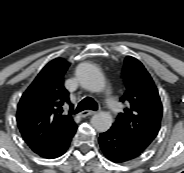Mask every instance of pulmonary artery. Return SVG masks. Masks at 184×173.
<instances>
[{
    "label": "pulmonary artery",
    "instance_id": "pulmonary-artery-1",
    "mask_svg": "<svg viewBox=\"0 0 184 173\" xmlns=\"http://www.w3.org/2000/svg\"><path fill=\"white\" fill-rule=\"evenodd\" d=\"M108 106L113 113H119L121 111V106L116 102H109Z\"/></svg>",
    "mask_w": 184,
    "mask_h": 173
}]
</instances>
